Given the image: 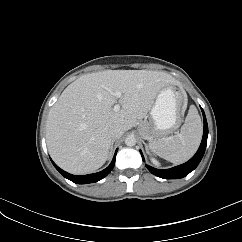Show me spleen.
Segmentation results:
<instances>
[{
    "instance_id": "3e777b00",
    "label": "spleen",
    "mask_w": 242,
    "mask_h": 242,
    "mask_svg": "<svg viewBox=\"0 0 242 242\" xmlns=\"http://www.w3.org/2000/svg\"><path fill=\"white\" fill-rule=\"evenodd\" d=\"M202 122L194 105L190 106L180 132L150 143V149L174 164L189 160L197 151L202 138Z\"/></svg>"
}]
</instances>
